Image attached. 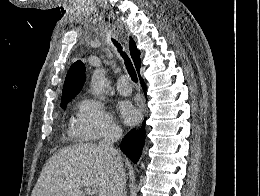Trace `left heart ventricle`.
Listing matches in <instances>:
<instances>
[{
  "label": "left heart ventricle",
  "instance_id": "b2bd125f",
  "mask_svg": "<svg viewBox=\"0 0 260 196\" xmlns=\"http://www.w3.org/2000/svg\"><path fill=\"white\" fill-rule=\"evenodd\" d=\"M66 190H55V192H65Z\"/></svg>",
  "mask_w": 260,
  "mask_h": 196
}]
</instances>
